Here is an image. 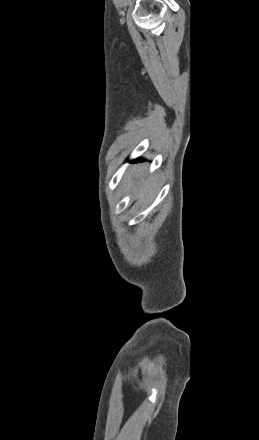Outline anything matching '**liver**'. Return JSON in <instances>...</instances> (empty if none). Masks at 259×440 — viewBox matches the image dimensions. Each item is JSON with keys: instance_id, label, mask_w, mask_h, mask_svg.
<instances>
[{"instance_id": "6515ba94", "label": "liver", "mask_w": 259, "mask_h": 440, "mask_svg": "<svg viewBox=\"0 0 259 440\" xmlns=\"http://www.w3.org/2000/svg\"><path fill=\"white\" fill-rule=\"evenodd\" d=\"M137 196H138V198H140V199H144V196H145V190L143 189V190H141V191H137Z\"/></svg>"}]
</instances>
